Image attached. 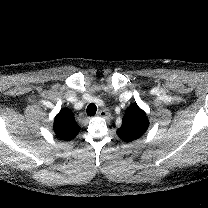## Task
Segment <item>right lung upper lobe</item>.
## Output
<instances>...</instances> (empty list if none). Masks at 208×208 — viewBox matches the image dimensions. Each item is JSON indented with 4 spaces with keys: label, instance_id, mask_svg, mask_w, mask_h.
Segmentation results:
<instances>
[{
    "label": "right lung upper lobe",
    "instance_id": "right-lung-upper-lobe-1",
    "mask_svg": "<svg viewBox=\"0 0 208 208\" xmlns=\"http://www.w3.org/2000/svg\"><path fill=\"white\" fill-rule=\"evenodd\" d=\"M54 132L62 140H72L80 131V126L75 121L73 113L68 109H62L55 116Z\"/></svg>",
    "mask_w": 208,
    "mask_h": 208
}]
</instances>
